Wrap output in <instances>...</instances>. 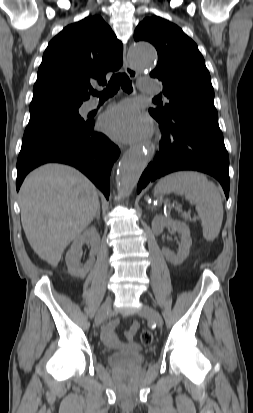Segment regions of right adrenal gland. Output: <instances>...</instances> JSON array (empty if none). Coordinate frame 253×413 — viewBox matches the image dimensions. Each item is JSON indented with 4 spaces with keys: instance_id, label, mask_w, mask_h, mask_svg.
I'll return each instance as SVG.
<instances>
[{
    "instance_id": "2a0ac1e0",
    "label": "right adrenal gland",
    "mask_w": 253,
    "mask_h": 413,
    "mask_svg": "<svg viewBox=\"0 0 253 413\" xmlns=\"http://www.w3.org/2000/svg\"><path fill=\"white\" fill-rule=\"evenodd\" d=\"M94 218H96L97 220H100V206L98 207L96 216Z\"/></svg>"
}]
</instances>
